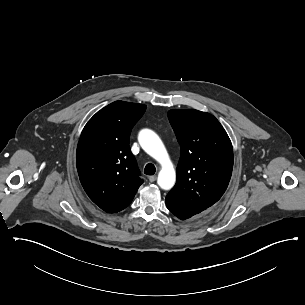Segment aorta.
<instances>
[{
    "mask_svg": "<svg viewBox=\"0 0 305 305\" xmlns=\"http://www.w3.org/2000/svg\"><path fill=\"white\" fill-rule=\"evenodd\" d=\"M138 140L143 150L162 166L158 174V185L164 190H170L175 184L176 173L161 139L152 130L144 129L140 131Z\"/></svg>",
    "mask_w": 305,
    "mask_h": 305,
    "instance_id": "1",
    "label": "aorta"
}]
</instances>
